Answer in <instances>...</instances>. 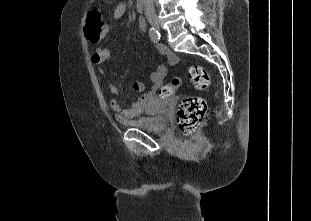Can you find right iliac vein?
I'll return each instance as SVG.
<instances>
[{"mask_svg":"<svg viewBox=\"0 0 311 221\" xmlns=\"http://www.w3.org/2000/svg\"><path fill=\"white\" fill-rule=\"evenodd\" d=\"M151 25L155 28V29H159L160 28V24L158 21L153 20L151 21Z\"/></svg>","mask_w":311,"mask_h":221,"instance_id":"63e3f726","label":"right iliac vein"}]
</instances>
